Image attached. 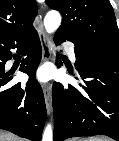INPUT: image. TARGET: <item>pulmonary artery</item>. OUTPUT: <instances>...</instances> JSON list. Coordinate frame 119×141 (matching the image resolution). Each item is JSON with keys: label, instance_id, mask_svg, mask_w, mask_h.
Segmentation results:
<instances>
[{"label": "pulmonary artery", "instance_id": "1", "mask_svg": "<svg viewBox=\"0 0 119 141\" xmlns=\"http://www.w3.org/2000/svg\"><path fill=\"white\" fill-rule=\"evenodd\" d=\"M67 51H68L69 57L72 60V62H75L76 61V55H75L73 45H68L67 46Z\"/></svg>", "mask_w": 119, "mask_h": 141}]
</instances>
